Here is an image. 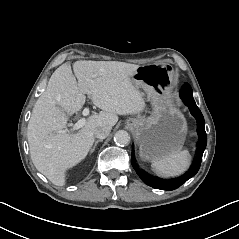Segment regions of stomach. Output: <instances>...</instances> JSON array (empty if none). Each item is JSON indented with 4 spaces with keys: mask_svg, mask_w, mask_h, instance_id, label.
Here are the masks:
<instances>
[{
    "mask_svg": "<svg viewBox=\"0 0 239 239\" xmlns=\"http://www.w3.org/2000/svg\"><path fill=\"white\" fill-rule=\"evenodd\" d=\"M149 68H139L131 80L146 92L152 106L151 115L129 118L127 125L139 145L141 158L153 163L181 151L187 122L178 108L180 102L170 92L173 76L169 72ZM150 89L154 91L153 96L149 95Z\"/></svg>",
    "mask_w": 239,
    "mask_h": 239,
    "instance_id": "stomach-1",
    "label": "stomach"
}]
</instances>
